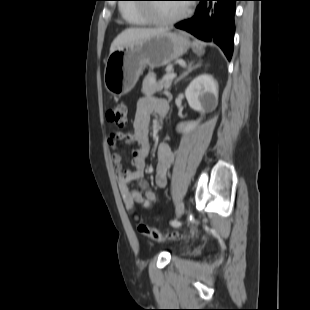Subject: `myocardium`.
I'll return each instance as SVG.
<instances>
[{"label": "myocardium", "instance_id": "f54148a6", "mask_svg": "<svg viewBox=\"0 0 310 310\" xmlns=\"http://www.w3.org/2000/svg\"><path fill=\"white\" fill-rule=\"evenodd\" d=\"M142 10L148 15V18L150 19L152 23L157 24V25H168V24L176 23L182 20L183 18H185L190 13L191 8L190 6H186L178 14L174 16H170V17L152 16L154 13L152 9L143 8Z\"/></svg>", "mask_w": 310, "mask_h": 310}]
</instances>
